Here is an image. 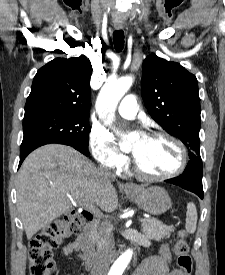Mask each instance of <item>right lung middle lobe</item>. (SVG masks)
<instances>
[{"label":"right lung middle lobe","instance_id":"dd1d6c3e","mask_svg":"<svg viewBox=\"0 0 225 275\" xmlns=\"http://www.w3.org/2000/svg\"><path fill=\"white\" fill-rule=\"evenodd\" d=\"M88 113H38L24 116L23 141L60 140L88 149Z\"/></svg>","mask_w":225,"mask_h":275}]
</instances>
